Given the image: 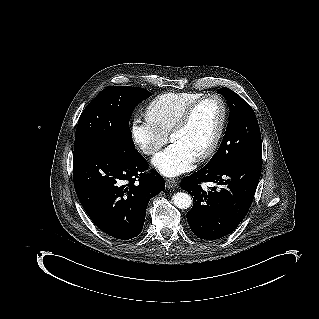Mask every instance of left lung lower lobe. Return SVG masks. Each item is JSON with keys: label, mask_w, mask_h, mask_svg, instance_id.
<instances>
[{"label": "left lung lower lobe", "mask_w": 319, "mask_h": 319, "mask_svg": "<svg viewBox=\"0 0 319 319\" xmlns=\"http://www.w3.org/2000/svg\"><path fill=\"white\" fill-rule=\"evenodd\" d=\"M261 166L262 158L257 156L206 164L182 180L181 188L194 199L187 221L197 237L216 240L236 229L252 204ZM205 183L213 187L207 190Z\"/></svg>", "instance_id": "0a47b994"}]
</instances>
